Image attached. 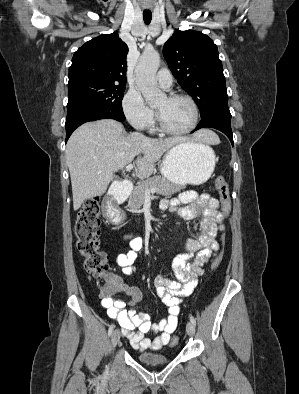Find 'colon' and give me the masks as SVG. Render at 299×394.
I'll use <instances>...</instances> for the list:
<instances>
[{
	"instance_id": "colon-1",
	"label": "colon",
	"mask_w": 299,
	"mask_h": 394,
	"mask_svg": "<svg viewBox=\"0 0 299 394\" xmlns=\"http://www.w3.org/2000/svg\"><path fill=\"white\" fill-rule=\"evenodd\" d=\"M215 187L221 202V213L226 218L231 211L229 185L224 177L218 176L215 180ZM100 204V197L94 196L88 199L79 210L75 222L76 246L83 257L84 270L103 282L100 296L103 299H109L118 293L120 281L110 272L106 253L99 249ZM221 259L220 254L216 256L211 265L212 270L218 268ZM177 342L178 338L173 337L171 345Z\"/></svg>"
}]
</instances>
